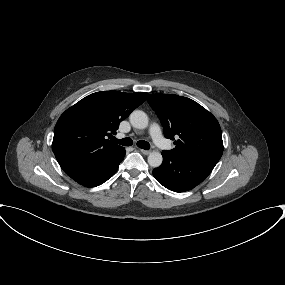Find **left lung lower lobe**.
Returning <instances> with one entry per match:
<instances>
[{
    "label": "left lung lower lobe",
    "instance_id": "obj_1",
    "mask_svg": "<svg viewBox=\"0 0 285 285\" xmlns=\"http://www.w3.org/2000/svg\"><path fill=\"white\" fill-rule=\"evenodd\" d=\"M163 163L153 170L157 181L174 192L193 189L211 173L212 167L162 152Z\"/></svg>",
    "mask_w": 285,
    "mask_h": 285
}]
</instances>
